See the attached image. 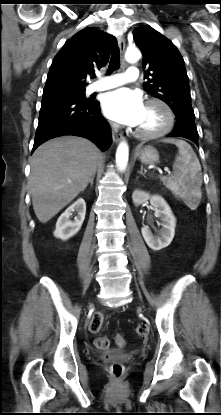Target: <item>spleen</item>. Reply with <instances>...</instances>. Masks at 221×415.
Returning <instances> with one entry per match:
<instances>
[{
  "label": "spleen",
  "mask_w": 221,
  "mask_h": 415,
  "mask_svg": "<svg viewBox=\"0 0 221 415\" xmlns=\"http://www.w3.org/2000/svg\"><path fill=\"white\" fill-rule=\"evenodd\" d=\"M163 141L175 144L179 150L173 164L174 175L164 178V181L171 191L179 195L190 208L195 209L202 197L200 162L187 142L179 139Z\"/></svg>",
  "instance_id": "1"
}]
</instances>
